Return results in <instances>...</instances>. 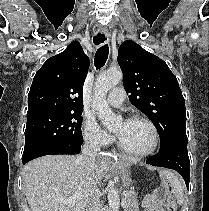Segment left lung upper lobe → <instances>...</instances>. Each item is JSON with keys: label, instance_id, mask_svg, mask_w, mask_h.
<instances>
[{"label": "left lung upper lobe", "instance_id": "left-lung-upper-lobe-1", "mask_svg": "<svg viewBox=\"0 0 209 211\" xmlns=\"http://www.w3.org/2000/svg\"><path fill=\"white\" fill-rule=\"evenodd\" d=\"M118 64L131 103L146 114L160 135V150L187 140L185 101L167 64L133 41L118 50Z\"/></svg>", "mask_w": 209, "mask_h": 211}]
</instances>
